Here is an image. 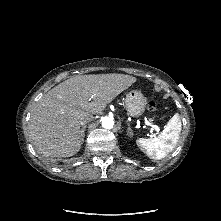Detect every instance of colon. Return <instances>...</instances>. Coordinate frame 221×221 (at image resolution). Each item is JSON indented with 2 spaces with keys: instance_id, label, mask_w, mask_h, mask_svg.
<instances>
[{
  "instance_id": "1",
  "label": "colon",
  "mask_w": 221,
  "mask_h": 221,
  "mask_svg": "<svg viewBox=\"0 0 221 221\" xmlns=\"http://www.w3.org/2000/svg\"><path fill=\"white\" fill-rule=\"evenodd\" d=\"M148 108L150 110H154L155 109V105L151 102V103H149Z\"/></svg>"
}]
</instances>
